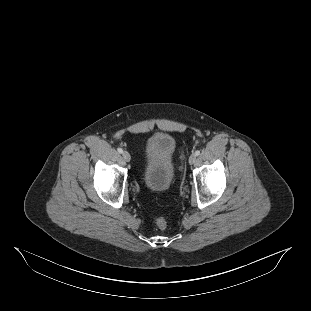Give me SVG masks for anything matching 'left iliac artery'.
I'll return each mask as SVG.
<instances>
[{"mask_svg": "<svg viewBox=\"0 0 311 311\" xmlns=\"http://www.w3.org/2000/svg\"><path fill=\"white\" fill-rule=\"evenodd\" d=\"M199 154H200V151H199V150H196V151H195V155L198 156Z\"/></svg>", "mask_w": 311, "mask_h": 311, "instance_id": "left-iliac-artery-1", "label": "left iliac artery"}]
</instances>
